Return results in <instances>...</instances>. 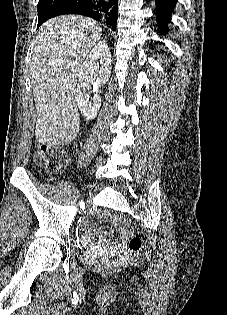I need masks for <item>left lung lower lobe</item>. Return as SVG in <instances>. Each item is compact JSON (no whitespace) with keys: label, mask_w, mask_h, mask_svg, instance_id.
Returning <instances> with one entry per match:
<instances>
[{"label":"left lung lower lobe","mask_w":227,"mask_h":315,"mask_svg":"<svg viewBox=\"0 0 227 315\" xmlns=\"http://www.w3.org/2000/svg\"><path fill=\"white\" fill-rule=\"evenodd\" d=\"M176 0H156V15L160 30L166 34L168 23L170 22L171 12L174 9Z\"/></svg>","instance_id":"1"}]
</instances>
